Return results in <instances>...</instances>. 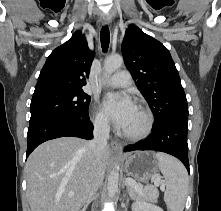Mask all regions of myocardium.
Returning <instances> with one entry per match:
<instances>
[{
    "instance_id": "myocardium-1",
    "label": "myocardium",
    "mask_w": 221,
    "mask_h": 211,
    "mask_svg": "<svg viewBox=\"0 0 221 211\" xmlns=\"http://www.w3.org/2000/svg\"><path fill=\"white\" fill-rule=\"evenodd\" d=\"M145 116V125L143 127V129L138 132V133H128L125 131H121V136H123L124 138L131 140V141H139L142 140L144 138H146L147 136H149V134L151 133L152 129H153V125H154V117L152 112L145 107L142 104H136V106Z\"/></svg>"
}]
</instances>
